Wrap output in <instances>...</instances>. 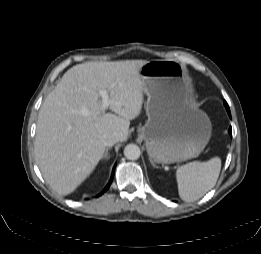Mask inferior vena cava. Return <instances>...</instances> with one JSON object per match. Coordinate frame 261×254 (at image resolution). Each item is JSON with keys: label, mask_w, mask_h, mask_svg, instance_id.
<instances>
[{"label": "inferior vena cava", "mask_w": 261, "mask_h": 254, "mask_svg": "<svg viewBox=\"0 0 261 254\" xmlns=\"http://www.w3.org/2000/svg\"><path fill=\"white\" fill-rule=\"evenodd\" d=\"M119 141V137L116 133L110 134L108 135L105 139H104V145L111 147L113 146L115 143H117Z\"/></svg>", "instance_id": "1"}]
</instances>
